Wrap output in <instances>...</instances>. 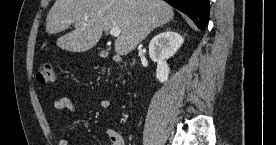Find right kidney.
Returning a JSON list of instances; mask_svg holds the SVG:
<instances>
[{"instance_id":"obj_1","label":"right kidney","mask_w":276,"mask_h":145,"mask_svg":"<svg viewBox=\"0 0 276 145\" xmlns=\"http://www.w3.org/2000/svg\"><path fill=\"white\" fill-rule=\"evenodd\" d=\"M183 37L171 30H166L153 37L149 43V56L157 63L156 78L164 83L169 77L166 60L171 58L183 44Z\"/></svg>"}]
</instances>
